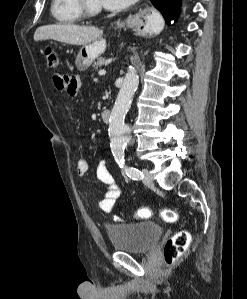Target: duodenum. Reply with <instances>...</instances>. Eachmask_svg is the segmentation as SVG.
I'll return each mask as SVG.
<instances>
[{"label": "duodenum", "mask_w": 247, "mask_h": 299, "mask_svg": "<svg viewBox=\"0 0 247 299\" xmlns=\"http://www.w3.org/2000/svg\"><path fill=\"white\" fill-rule=\"evenodd\" d=\"M111 118V112L109 110H104L101 113V119L104 123H109Z\"/></svg>", "instance_id": "410a0bca"}]
</instances>
